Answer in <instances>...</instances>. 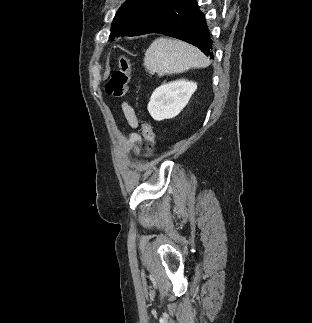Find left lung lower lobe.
<instances>
[{
    "label": "left lung lower lobe",
    "instance_id": "left-lung-lower-lobe-1",
    "mask_svg": "<svg viewBox=\"0 0 312 323\" xmlns=\"http://www.w3.org/2000/svg\"><path fill=\"white\" fill-rule=\"evenodd\" d=\"M148 33H162L197 46L214 57L209 25L197 0H173L169 13L155 23Z\"/></svg>",
    "mask_w": 312,
    "mask_h": 323
}]
</instances>
